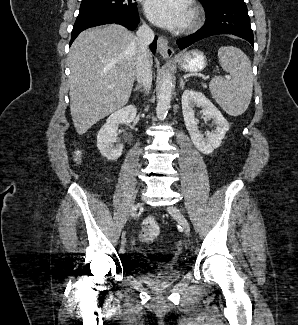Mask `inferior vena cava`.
Instances as JSON below:
<instances>
[{
  "instance_id": "602c4592",
  "label": "inferior vena cava",
  "mask_w": 298,
  "mask_h": 325,
  "mask_svg": "<svg viewBox=\"0 0 298 325\" xmlns=\"http://www.w3.org/2000/svg\"><path fill=\"white\" fill-rule=\"evenodd\" d=\"M136 36L139 42V52L136 64V80L139 82V84L144 86L147 92H150L152 88V54L149 50V44L153 42L155 32H153L152 28L147 26V24H142V26H139Z\"/></svg>"
}]
</instances>
